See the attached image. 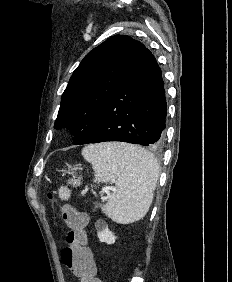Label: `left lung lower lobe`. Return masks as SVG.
Listing matches in <instances>:
<instances>
[{"label":"left lung lower lobe","instance_id":"1","mask_svg":"<svg viewBox=\"0 0 232 282\" xmlns=\"http://www.w3.org/2000/svg\"><path fill=\"white\" fill-rule=\"evenodd\" d=\"M167 104L162 72L148 48L124 84L103 106L96 125L75 145L121 141L158 148Z\"/></svg>","mask_w":232,"mask_h":282}]
</instances>
